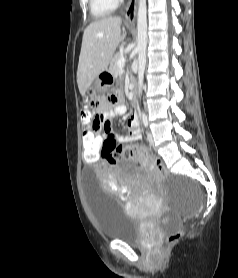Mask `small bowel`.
Segmentation results:
<instances>
[{
    "label": "small bowel",
    "mask_w": 238,
    "mask_h": 278,
    "mask_svg": "<svg viewBox=\"0 0 238 278\" xmlns=\"http://www.w3.org/2000/svg\"><path fill=\"white\" fill-rule=\"evenodd\" d=\"M125 113L126 107L124 104H117V100H106V104L101 105L100 112L97 113L96 118L93 120V122L90 124V127L87 130L94 131V136L84 137H103L106 144L109 142L119 144L139 140L141 138V134L139 130V116L136 112H133L131 114V116L125 124V129L128 131V135H118L111 129L110 122L124 115ZM134 158L141 166L150 167V164L147 161V159L140 156H136Z\"/></svg>",
    "instance_id": "1"
}]
</instances>
